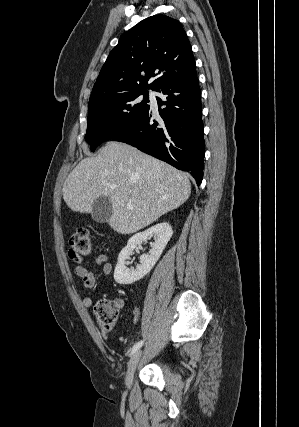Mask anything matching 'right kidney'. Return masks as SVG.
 <instances>
[{
    "mask_svg": "<svg viewBox=\"0 0 299 427\" xmlns=\"http://www.w3.org/2000/svg\"><path fill=\"white\" fill-rule=\"evenodd\" d=\"M172 235V227L166 222L156 224L144 232L133 235L118 256L114 271L115 281L118 284L128 285L147 275L158 261ZM149 237H154V242L150 243L151 250L149 254L140 256V264L135 269L128 268L126 261L133 250Z\"/></svg>",
    "mask_w": 299,
    "mask_h": 427,
    "instance_id": "right-kidney-1",
    "label": "right kidney"
}]
</instances>
